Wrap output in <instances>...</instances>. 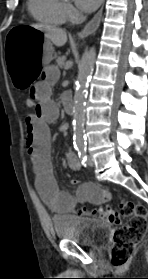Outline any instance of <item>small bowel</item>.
I'll return each mask as SVG.
<instances>
[{"label": "small bowel", "mask_w": 148, "mask_h": 279, "mask_svg": "<svg viewBox=\"0 0 148 279\" xmlns=\"http://www.w3.org/2000/svg\"><path fill=\"white\" fill-rule=\"evenodd\" d=\"M59 78L56 67L43 69L41 80L31 87L29 94L37 104L34 111L26 117V147L36 174V188L49 208L61 214L72 213L78 203L99 204L110 199V192L94 183L80 185L75 195L59 189L53 175L50 158L51 136L49 125L59 117V108L51 98V87ZM71 170L78 171L81 164L70 150L65 153ZM74 184L79 180L74 179Z\"/></svg>", "instance_id": "small-bowel-1"}]
</instances>
